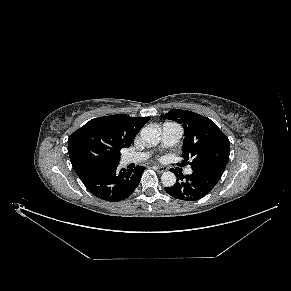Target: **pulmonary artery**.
Segmentation results:
<instances>
[{"label":"pulmonary artery","instance_id":"obj_1","mask_svg":"<svg viewBox=\"0 0 291 291\" xmlns=\"http://www.w3.org/2000/svg\"><path fill=\"white\" fill-rule=\"evenodd\" d=\"M183 134V128L180 124L175 122H165L162 126V137L161 145L162 147H170L175 145ZM149 157V153H129L123 156L122 162L124 164L141 162ZM186 174H191L192 169L187 168L185 170Z\"/></svg>","mask_w":291,"mask_h":291}]
</instances>
